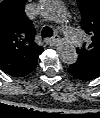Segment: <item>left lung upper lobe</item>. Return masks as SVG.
Masks as SVG:
<instances>
[{
	"label": "left lung upper lobe",
	"mask_w": 100,
	"mask_h": 118,
	"mask_svg": "<svg viewBox=\"0 0 100 118\" xmlns=\"http://www.w3.org/2000/svg\"><path fill=\"white\" fill-rule=\"evenodd\" d=\"M81 15V27L91 36V41L77 49L78 59L100 69V0H77Z\"/></svg>",
	"instance_id": "left-lung-upper-lobe-1"
}]
</instances>
